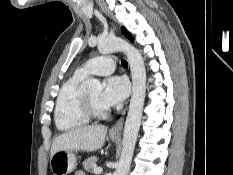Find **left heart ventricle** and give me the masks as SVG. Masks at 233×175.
<instances>
[{"mask_svg": "<svg viewBox=\"0 0 233 175\" xmlns=\"http://www.w3.org/2000/svg\"><path fill=\"white\" fill-rule=\"evenodd\" d=\"M101 89L88 91L87 94L98 108H106L101 102Z\"/></svg>", "mask_w": 233, "mask_h": 175, "instance_id": "1", "label": "left heart ventricle"}]
</instances>
